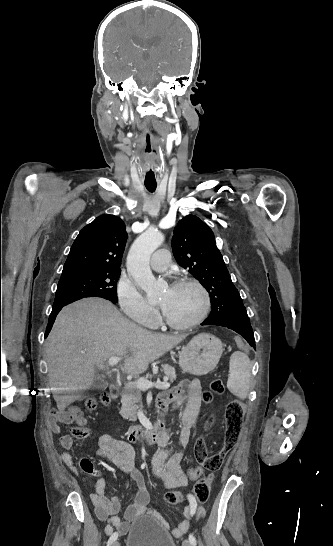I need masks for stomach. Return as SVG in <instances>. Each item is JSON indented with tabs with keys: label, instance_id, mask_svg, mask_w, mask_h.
<instances>
[{
	"label": "stomach",
	"instance_id": "1",
	"mask_svg": "<svg viewBox=\"0 0 333 546\" xmlns=\"http://www.w3.org/2000/svg\"><path fill=\"white\" fill-rule=\"evenodd\" d=\"M222 352L223 345L219 338L210 333H200L182 348L179 365L184 372L203 376L216 368Z\"/></svg>",
	"mask_w": 333,
	"mask_h": 546
}]
</instances>
